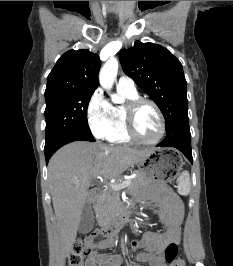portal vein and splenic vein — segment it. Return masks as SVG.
<instances>
[{"mask_svg":"<svg viewBox=\"0 0 233 266\" xmlns=\"http://www.w3.org/2000/svg\"><path fill=\"white\" fill-rule=\"evenodd\" d=\"M97 178H100L99 176H96ZM131 184V180H125L118 184H109V186L114 190H120L125 187H128Z\"/></svg>","mask_w":233,"mask_h":266,"instance_id":"obj_1","label":"portal vein and splenic vein"}]
</instances>
